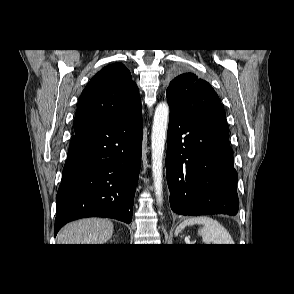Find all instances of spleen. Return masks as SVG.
Masks as SVG:
<instances>
[{
    "mask_svg": "<svg viewBox=\"0 0 294 294\" xmlns=\"http://www.w3.org/2000/svg\"><path fill=\"white\" fill-rule=\"evenodd\" d=\"M202 225L198 235L205 244H234L229 232L217 221L208 216L189 217L185 219L175 230L178 235L186 226Z\"/></svg>",
    "mask_w": 294,
    "mask_h": 294,
    "instance_id": "1",
    "label": "spleen"
}]
</instances>
